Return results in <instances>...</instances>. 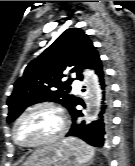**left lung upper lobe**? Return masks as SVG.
<instances>
[{"label":"left lung upper lobe","mask_w":135,"mask_h":166,"mask_svg":"<svg viewBox=\"0 0 135 166\" xmlns=\"http://www.w3.org/2000/svg\"><path fill=\"white\" fill-rule=\"evenodd\" d=\"M96 55L98 52L88 35L76 28L65 30L28 64L23 76L14 84L7 101V122H13L28 106L45 101L60 103L69 110L75 100L68 94L73 79L62 82L63 72H76L77 79L81 80V67L88 68Z\"/></svg>","instance_id":"1"}]
</instances>
